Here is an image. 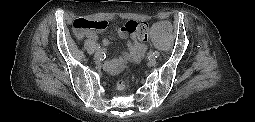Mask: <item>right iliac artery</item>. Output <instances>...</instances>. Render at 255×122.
Masks as SVG:
<instances>
[{
  "instance_id": "1",
  "label": "right iliac artery",
  "mask_w": 255,
  "mask_h": 122,
  "mask_svg": "<svg viewBox=\"0 0 255 122\" xmlns=\"http://www.w3.org/2000/svg\"><path fill=\"white\" fill-rule=\"evenodd\" d=\"M96 54H103V50L100 46L97 48Z\"/></svg>"
}]
</instances>
